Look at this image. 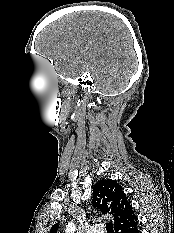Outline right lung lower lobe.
I'll list each match as a JSON object with an SVG mask.
<instances>
[{
    "instance_id": "obj_1",
    "label": "right lung lower lobe",
    "mask_w": 174,
    "mask_h": 233,
    "mask_svg": "<svg viewBox=\"0 0 174 233\" xmlns=\"http://www.w3.org/2000/svg\"><path fill=\"white\" fill-rule=\"evenodd\" d=\"M124 233H140V232L138 230L137 224H135L133 227L124 231Z\"/></svg>"
}]
</instances>
